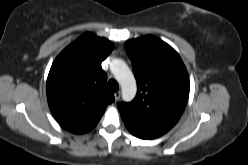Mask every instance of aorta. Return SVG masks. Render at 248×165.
<instances>
[{
	"label": "aorta",
	"instance_id": "aorta-1",
	"mask_svg": "<svg viewBox=\"0 0 248 165\" xmlns=\"http://www.w3.org/2000/svg\"><path fill=\"white\" fill-rule=\"evenodd\" d=\"M110 70L121 85L122 99L130 102L137 91L136 80L128 65L121 59H114L110 64Z\"/></svg>",
	"mask_w": 248,
	"mask_h": 165
}]
</instances>
